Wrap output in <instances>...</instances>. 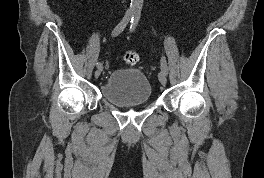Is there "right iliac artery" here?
Returning a JSON list of instances; mask_svg holds the SVG:
<instances>
[{
    "mask_svg": "<svg viewBox=\"0 0 264 178\" xmlns=\"http://www.w3.org/2000/svg\"><path fill=\"white\" fill-rule=\"evenodd\" d=\"M134 15V11L132 10H128L123 19L119 22V24L114 28L113 32H112V37H115L117 35H119L127 26V24L129 23L130 19L133 17ZM103 66L102 62H97V68H101Z\"/></svg>",
    "mask_w": 264,
    "mask_h": 178,
    "instance_id": "82829eb1",
    "label": "right iliac artery"
}]
</instances>
